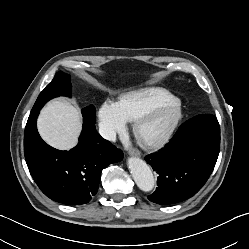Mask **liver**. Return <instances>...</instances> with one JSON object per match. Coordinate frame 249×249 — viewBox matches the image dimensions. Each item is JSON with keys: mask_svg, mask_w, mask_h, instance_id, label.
Wrapping results in <instances>:
<instances>
[{"mask_svg": "<svg viewBox=\"0 0 249 249\" xmlns=\"http://www.w3.org/2000/svg\"><path fill=\"white\" fill-rule=\"evenodd\" d=\"M43 140L59 150H70L78 141L82 118L78 107L64 99L52 100L42 109L37 122Z\"/></svg>", "mask_w": 249, "mask_h": 249, "instance_id": "6515ba94", "label": "liver"}]
</instances>
